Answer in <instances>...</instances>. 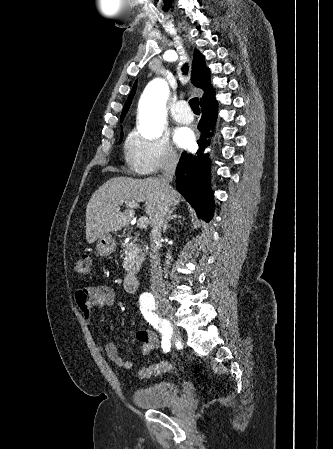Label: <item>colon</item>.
I'll list each match as a JSON object with an SVG mask.
<instances>
[{
  "mask_svg": "<svg viewBox=\"0 0 333 449\" xmlns=\"http://www.w3.org/2000/svg\"><path fill=\"white\" fill-rule=\"evenodd\" d=\"M74 271L78 274H88L90 271V257L88 255H82L78 258L74 263ZM172 369V364L166 361H161L141 368L139 370V376L141 378H147L152 375L170 372Z\"/></svg>",
  "mask_w": 333,
  "mask_h": 449,
  "instance_id": "5ec220e1",
  "label": "colon"
}]
</instances>
